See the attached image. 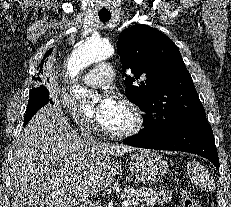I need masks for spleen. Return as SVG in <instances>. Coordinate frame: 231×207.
Instances as JSON below:
<instances>
[{
	"label": "spleen",
	"instance_id": "3e777b00",
	"mask_svg": "<svg viewBox=\"0 0 231 207\" xmlns=\"http://www.w3.org/2000/svg\"><path fill=\"white\" fill-rule=\"evenodd\" d=\"M187 170L191 180L195 184L199 186L206 184H208V186L210 185L207 178L205 179L203 166L199 162H189L187 165Z\"/></svg>",
	"mask_w": 231,
	"mask_h": 207
}]
</instances>
